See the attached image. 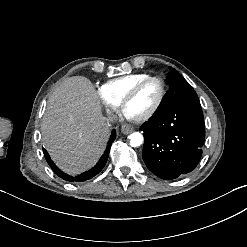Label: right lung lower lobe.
Masks as SVG:
<instances>
[{
  "label": "right lung lower lobe",
  "mask_w": 247,
  "mask_h": 247,
  "mask_svg": "<svg viewBox=\"0 0 247 247\" xmlns=\"http://www.w3.org/2000/svg\"><path fill=\"white\" fill-rule=\"evenodd\" d=\"M116 137V133L115 131L112 132L108 146L106 151L104 152L103 156L101 157V159L99 160V162L96 164V166H94L92 169L82 173L79 176L73 177L70 176L64 172H62L51 160L49 154L47 153V151L43 148V152H44V156L46 158V161L48 162L49 166L51 167V169L54 171V173L59 176L60 178L66 180V181H76V182H82V181H86L88 179H91L92 177H94L95 175H97L105 166L108 156H109V152H110V146L111 143L115 140Z\"/></svg>",
  "instance_id": "98d812e1"
}]
</instances>
